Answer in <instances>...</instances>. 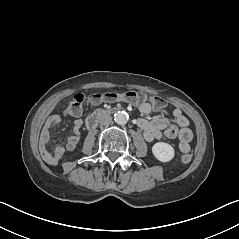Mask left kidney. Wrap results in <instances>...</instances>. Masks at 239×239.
Segmentation results:
<instances>
[{
    "instance_id": "5707ae66",
    "label": "left kidney",
    "mask_w": 239,
    "mask_h": 239,
    "mask_svg": "<svg viewBox=\"0 0 239 239\" xmlns=\"http://www.w3.org/2000/svg\"><path fill=\"white\" fill-rule=\"evenodd\" d=\"M153 155L161 162H168L174 157V149L171 145L158 142L152 147Z\"/></svg>"
}]
</instances>
